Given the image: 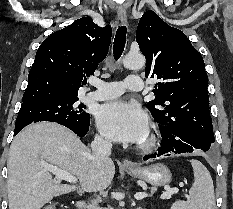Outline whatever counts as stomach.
I'll return each instance as SVG.
<instances>
[{
  "mask_svg": "<svg viewBox=\"0 0 233 209\" xmlns=\"http://www.w3.org/2000/svg\"><path fill=\"white\" fill-rule=\"evenodd\" d=\"M126 172L137 179L143 180L152 186L159 187L169 184L172 179L171 172L164 164H152L135 170L126 169Z\"/></svg>",
  "mask_w": 233,
  "mask_h": 209,
  "instance_id": "0dacf381",
  "label": "stomach"
}]
</instances>
